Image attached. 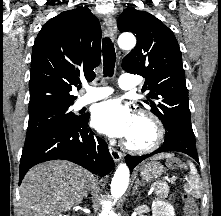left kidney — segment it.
I'll return each mask as SVG.
<instances>
[{"instance_id": "1", "label": "left kidney", "mask_w": 221, "mask_h": 216, "mask_svg": "<svg viewBox=\"0 0 221 216\" xmlns=\"http://www.w3.org/2000/svg\"><path fill=\"white\" fill-rule=\"evenodd\" d=\"M152 216H175V211L168 202L157 200L152 203Z\"/></svg>"}]
</instances>
